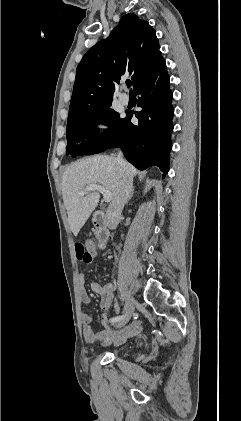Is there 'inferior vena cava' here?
Masks as SVG:
<instances>
[{"label": "inferior vena cava", "mask_w": 241, "mask_h": 421, "mask_svg": "<svg viewBox=\"0 0 241 421\" xmlns=\"http://www.w3.org/2000/svg\"><path fill=\"white\" fill-rule=\"evenodd\" d=\"M120 181L116 193L107 209V223L110 229H115L120 220L124 205L132 189V177L128 171L127 163L123 159L122 152L117 155Z\"/></svg>", "instance_id": "obj_1"}]
</instances>
